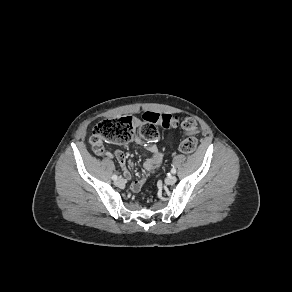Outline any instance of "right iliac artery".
<instances>
[{"instance_id":"1","label":"right iliac artery","mask_w":292,"mask_h":292,"mask_svg":"<svg viewBox=\"0 0 292 292\" xmlns=\"http://www.w3.org/2000/svg\"><path fill=\"white\" fill-rule=\"evenodd\" d=\"M113 180H116L117 179V175H112V177H111Z\"/></svg>"}]
</instances>
